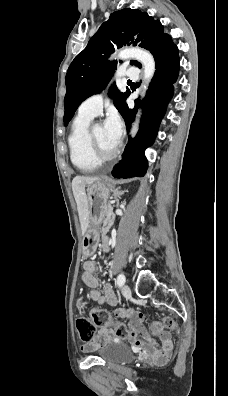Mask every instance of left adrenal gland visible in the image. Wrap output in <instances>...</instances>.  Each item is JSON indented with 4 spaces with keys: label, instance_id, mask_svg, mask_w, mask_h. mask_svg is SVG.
I'll return each mask as SVG.
<instances>
[{
    "label": "left adrenal gland",
    "instance_id": "1",
    "mask_svg": "<svg viewBox=\"0 0 228 396\" xmlns=\"http://www.w3.org/2000/svg\"><path fill=\"white\" fill-rule=\"evenodd\" d=\"M124 192H125V191H119V188H117V189L114 191V198H115L117 204H118V202H119L120 196H121L122 194H124Z\"/></svg>",
    "mask_w": 228,
    "mask_h": 396
}]
</instances>
